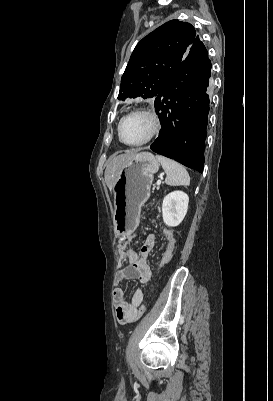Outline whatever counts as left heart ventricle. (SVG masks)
Returning a JSON list of instances; mask_svg holds the SVG:
<instances>
[{
  "mask_svg": "<svg viewBox=\"0 0 273 401\" xmlns=\"http://www.w3.org/2000/svg\"><path fill=\"white\" fill-rule=\"evenodd\" d=\"M151 120L143 115L127 117L121 126V137L128 143H135L146 138L152 130Z\"/></svg>",
  "mask_w": 273,
  "mask_h": 401,
  "instance_id": "left-heart-ventricle-1",
  "label": "left heart ventricle"
}]
</instances>
